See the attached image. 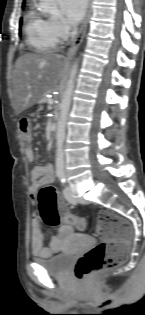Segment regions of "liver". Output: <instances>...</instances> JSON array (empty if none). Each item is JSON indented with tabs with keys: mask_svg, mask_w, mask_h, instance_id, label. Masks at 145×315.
<instances>
[{
	"mask_svg": "<svg viewBox=\"0 0 145 315\" xmlns=\"http://www.w3.org/2000/svg\"><path fill=\"white\" fill-rule=\"evenodd\" d=\"M66 69L67 61L54 52L21 55L15 63L13 76L11 99L15 114L41 101L46 92L57 89Z\"/></svg>",
	"mask_w": 145,
	"mask_h": 315,
	"instance_id": "1",
	"label": "liver"
}]
</instances>
